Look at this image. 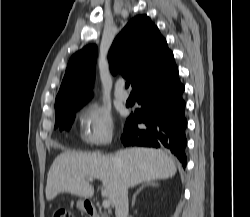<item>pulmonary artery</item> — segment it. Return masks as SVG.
<instances>
[{
    "label": "pulmonary artery",
    "mask_w": 250,
    "mask_h": 217,
    "mask_svg": "<svg viewBox=\"0 0 250 217\" xmlns=\"http://www.w3.org/2000/svg\"><path fill=\"white\" fill-rule=\"evenodd\" d=\"M114 96L117 100L125 102L128 99V93L124 90L123 82H117L114 88Z\"/></svg>",
    "instance_id": "pulmonary-artery-1"
}]
</instances>
